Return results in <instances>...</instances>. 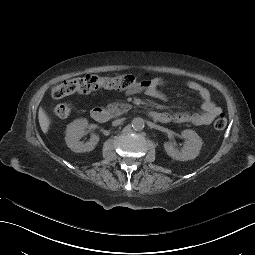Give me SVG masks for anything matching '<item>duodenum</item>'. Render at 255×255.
Listing matches in <instances>:
<instances>
[{"mask_svg": "<svg viewBox=\"0 0 255 255\" xmlns=\"http://www.w3.org/2000/svg\"><path fill=\"white\" fill-rule=\"evenodd\" d=\"M91 117L93 120L104 123L110 120L111 115L109 111L102 107H95L91 110ZM149 116L156 122L168 123L171 121V115L165 112L152 111Z\"/></svg>", "mask_w": 255, "mask_h": 255, "instance_id": "410a0bca", "label": "duodenum"}]
</instances>
